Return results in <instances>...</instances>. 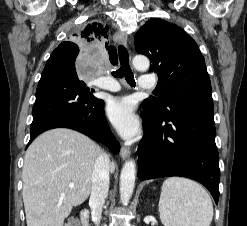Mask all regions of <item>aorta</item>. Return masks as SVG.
I'll list each match as a JSON object with an SVG mask.
<instances>
[{
	"instance_id": "1",
	"label": "aorta",
	"mask_w": 247,
	"mask_h": 226,
	"mask_svg": "<svg viewBox=\"0 0 247 226\" xmlns=\"http://www.w3.org/2000/svg\"><path fill=\"white\" fill-rule=\"evenodd\" d=\"M133 66L139 71L149 68L150 62L147 57L137 55L133 58ZM136 167L134 160H128L123 165L120 175V200L123 205H127L135 187Z\"/></svg>"
}]
</instances>
